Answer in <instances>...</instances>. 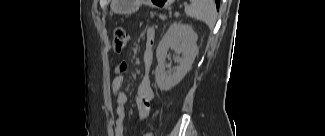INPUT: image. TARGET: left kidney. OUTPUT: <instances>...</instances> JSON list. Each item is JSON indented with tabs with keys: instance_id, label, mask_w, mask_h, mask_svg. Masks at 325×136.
I'll use <instances>...</instances> for the list:
<instances>
[{
	"instance_id": "left-kidney-1",
	"label": "left kidney",
	"mask_w": 325,
	"mask_h": 136,
	"mask_svg": "<svg viewBox=\"0 0 325 136\" xmlns=\"http://www.w3.org/2000/svg\"><path fill=\"white\" fill-rule=\"evenodd\" d=\"M198 36L190 25L173 23L156 50L158 65L155 70V80L161 91H168L176 86L189 72L198 54ZM169 49L182 54V58H176L179 63L173 73L165 71V60Z\"/></svg>"
}]
</instances>
